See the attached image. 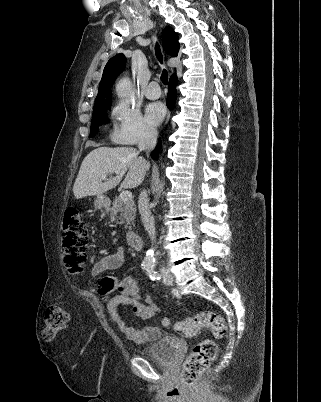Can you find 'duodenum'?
<instances>
[{"mask_svg": "<svg viewBox=\"0 0 321 402\" xmlns=\"http://www.w3.org/2000/svg\"><path fill=\"white\" fill-rule=\"evenodd\" d=\"M126 243L130 248L134 250H140L142 246L140 235L134 231L127 232Z\"/></svg>", "mask_w": 321, "mask_h": 402, "instance_id": "obj_1", "label": "duodenum"}]
</instances>
